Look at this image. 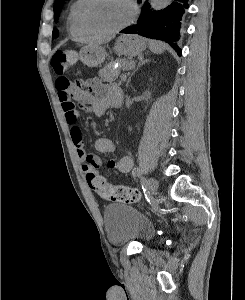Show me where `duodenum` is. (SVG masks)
Here are the masks:
<instances>
[{
    "label": "duodenum",
    "instance_id": "1",
    "mask_svg": "<svg viewBox=\"0 0 245 300\" xmlns=\"http://www.w3.org/2000/svg\"><path fill=\"white\" fill-rule=\"evenodd\" d=\"M122 100H123L122 94H118L117 97H116V106L117 107L121 106Z\"/></svg>",
    "mask_w": 245,
    "mask_h": 300
}]
</instances>
